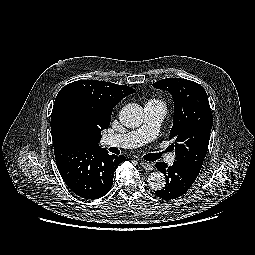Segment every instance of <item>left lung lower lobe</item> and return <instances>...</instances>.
Masks as SVG:
<instances>
[{
    "label": "left lung lower lobe",
    "mask_w": 255,
    "mask_h": 255,
    "mask_svg": "<svg viewBox=\"0 0 255 255\" xmlns=\"http://www.w3.org/2000/svg\"><path fill=\"white\" fill-rule=\"evenodd\" d=\"M157 169L167 177V183L156 194L160 198L171 200L182 196L192 186L200 169L182 160H175L172 166L164 162L156 163Z\"/></svg>",
    "instance_id": "left-lung-lower-lobe-1"
}]
</instances>
